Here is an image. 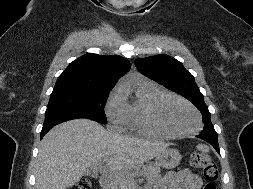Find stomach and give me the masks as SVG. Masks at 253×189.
I'll use <instances>...</instances> for the list:
<instances>
[{
	"label": "stomach",
	"mask_w": 253,
	"mask_h": 189,
	"mask_svg": "<svg viewBox=\"0 0 253 189\" xmlns=\"http://www.w3.org/2000/svg\"><path fill=\"white\" fill-rule=\"evenodd\" d=\"M180 160L181 155L177 149L166 148L156 156L155 164L166 169H172L180 163Z\"/></svg>",
	"instance_id": "0dacf381"
}]
</instances>
